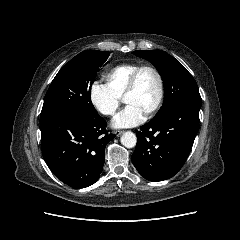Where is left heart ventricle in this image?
<instances>
[{"instance_id":"b2bd125f","label":"left heart ventricle","mask_w":240,"mask_h":240,"mask_svg":"<svg viewBox=\"0 0 240 240\" xmlns=\"http://www.w3.org/2000/svg\"><path fill=\"white\" fill-rule=\"evenodd\" d=\"M158 93L156 76L150 70L143 71L136 89L125 98V102L134 105L145 113L155 102Z\"/></svg>"}]
</instances>
